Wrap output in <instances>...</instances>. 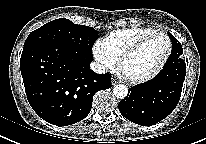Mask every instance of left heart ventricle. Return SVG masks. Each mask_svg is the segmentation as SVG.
Masks as SVG:
<instances>
[{"instance_id": "obj_1", "label": "left heart ventricle", "mask_w": 206, "mask_h": 144, "mask_svg": "<svg viewBox=\"0 0 206 144\" xmlns=\"http://www.w3.org/2000/svg\"><path fill=\"white\" fill-rule=\"evenodd\" d=\"M167 52V41L156 36L147 41L134 55L126 60L123 66L124 73L130 77H143L161 64Z\"/></svg>"}]
</instances>
